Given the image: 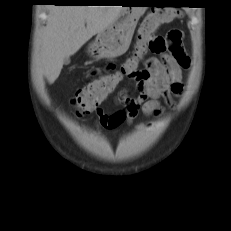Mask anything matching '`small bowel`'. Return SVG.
I'll use <instances>...</instances> for the list:
<instances>
[{
	"instance_id": "obj_1",
	"label": "small bowel",
	"mask_w": 231,
	"mask_h": 231,
	"mask_svg": "<svg viewBox=\"0 0 231 231\" xmlns=\"http://www.w3.org/2000/svg\"><path fill=\"white\" fill-rule=\"evenodd\" d=\"M183 34L171 30L164 38L167 50L160 58H150L143 69L144 78L136 80L132 96L128 90H121L115 97L120 107L112 114L97 109L96 122L99 127L114 129L123 123H131L142 112L146 116H157L163 112L160 99H171L183 91L182 70L190 66V59L182 46ZM115 64H109L102 74L114 71Z\"/></svg>"
}]
</instances>
